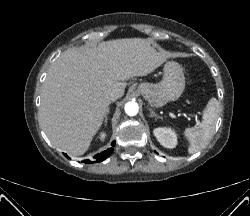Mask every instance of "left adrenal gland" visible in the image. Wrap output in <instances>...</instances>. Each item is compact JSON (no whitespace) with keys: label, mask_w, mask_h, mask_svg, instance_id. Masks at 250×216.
Wrapping results in <instances>:
<instances>
[{"label":"left adrenal gland","mask_w":250,"mask_h":216,"mask_svg":"<svg viewBox=\"0 0 250 216\" xmlns=\"http://www.w3.org/2000/svg\"><path fill=\"white\" fill-rule=\"evenodd\" d=\"M150 117H154V118H159V119H162L161 116L157 115L153 109H150Z\"/></svg>","instance_id":"a2214340"}]
</instances>
